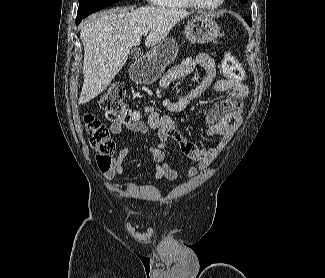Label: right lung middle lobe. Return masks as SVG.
Segmentation results:
<instances>
[{
  "label": "right lung middle lobe",
  "mask_w": 325,
  "mask_h": 278,
  "mask_svg": "<svg viewBox=\"0 0 325 278\" xmlns=\"http://www.w3.org/2000/svg\"><path fill=\"white\" fill-rule=\"evenodd\" d=\"M117 1L118 0H79L77 17L87 16Z\"/></svg>",
  "instance_id": "dd1d6c3e"
}]
</instances>
